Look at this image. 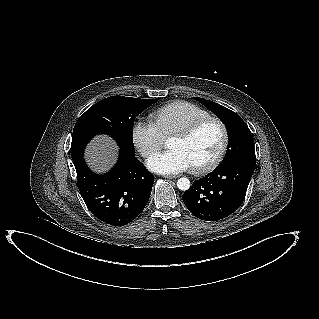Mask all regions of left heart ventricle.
I'll return each instance as SVG.
<instances>
[{"label": "left heart ventricle", "mask_w": 319, "mask_h": 319, "mask_svg": "<svg viewBox=\"0 0 319 319\" xmlns=\"http://www.w3.org/2000/svg\"><path fill=\"white\" fill-rule=\"evenodd\" d=\"M221 144V132L214 123H208L186 140L172 138L168 141L169 149L179 150L185 155L190 167L208 163L217 154Z\"/></svg>", "instance_id": "obj_1"}]
</instances>
